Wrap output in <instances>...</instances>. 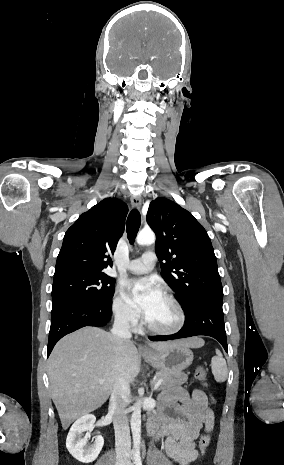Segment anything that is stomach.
<instances>
[{
    "label": "stomach",
    "instance_id": "0dacf381",
    "mask_svg": "<svg viewBox=\"0 0 284 465\" xmlns=\"http://www.w3.org/2000/svg\"><path fill=\"white\" fill-rule=\"evenodd\" d=\"M145 361L151 363L159 371H184L192 365L193 353L183 341H173L165 351H145Z\"/></svg>",
    "mask_w": 284,
    "mask_h": 465
}]
</instances>
